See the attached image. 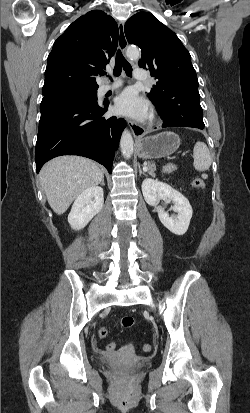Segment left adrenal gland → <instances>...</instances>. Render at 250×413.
I'll list each match as a JSON object with an SVG mask.
<instances>
[{
  "mask_svg": "<svg viewBox=\"0 0 250 413\" xmlns=\"http://www.w3.org/2000/svg\"><path fill=\"white\" fill-rule=\"evenodd\" d=\"M139 174H140V175H141V174L146 175L145 172H143V171L141 170L140 166H139Z\"/></svg>",
  "mask_w": 250,
  "mask_h": 413,
  "instance_id": "1",
  "label": "left adrenal gland"
}]
</instances>
